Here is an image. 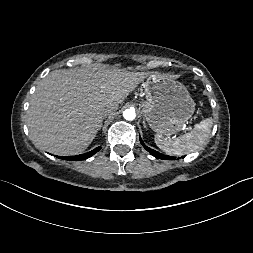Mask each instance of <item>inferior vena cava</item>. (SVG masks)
<instances>
[{"label": "inferior vena cava", "instance_id": "inferior-vena-cava-1", "mask_svg": "<svg viewBox=\"0 0 253 253\" xmlns=\"http://www.w3.org/2000/svg\"><path fill=\"white\" fill-rule=\"evenodd\" d=\"M116 110V107L114 105H108L106 108L103 110L104 115H108L113 113Z\"/></svg>", "mask_w": 253, "mask_h": 253}]
</instances>
